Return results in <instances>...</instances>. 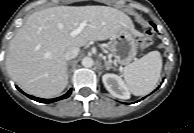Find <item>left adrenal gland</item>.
<instances>
[{
    "label": "left adrenal gland",
    "mask_w": 194,
    "mask_h": 133,
    "mask_svg": "<svg viewBox=\"0 0 194 133\" xmlns=\"http://www.w3.org/2000/svg\"><path fill=\"white\" fill-rule=\"evenodd\" d=\"M104 64H105V69L106 70H110L111 68H113L112 66H111V64L108 62V61H104Z\"/></svg>",
    "instance_id": "a2214340"
}]
</instances>
